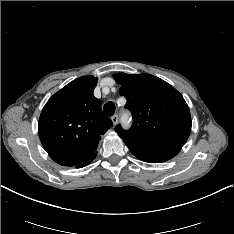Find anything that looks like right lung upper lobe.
Returning a JSON list of instances; mask_svg holds the SVG:
<instances>
[{
    "mask_svg": "<svg viewBox=\"0 0 234 234\" xmlns=\"http://www.w3.org/2000/svg\"><path fill=\"white\" fill-rule=\"evenodd\" d=\"M98 78L73 80L45 104L38 123L41 143L49 156L63 166L83 167L96 156L101 136L112 121L93 95Z\"/></svg>",
    "mask_w": 234,
    "mask_h": 234,
    "instance_id": "cb5924a9",
    "label": "right lung upper lobe"
}]
</instances>
